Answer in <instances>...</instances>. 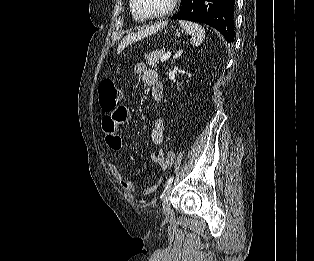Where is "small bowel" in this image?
<instances>
[{"instance_id": "c3829d8e", "label": "small bowel", "mask_w": 314, "mask_h": 261, "mask_svg": "<svg viewBox=\"0 0 314 261\" xmlns=\"http://www.w3.org/2000/svg\"><path fill=\"white\" fill-rule=\"evenodd\" d=\"M132 72L134 75L142 77L143 82L152 88V96L155 100L162 99L163 85L159 80L158 74L154 70L148 69L143 63H136L133 65ZM130 119V112L124 107L119 109H109V115L103 118L102 128L106 134V143L111 150L118 151L122 149L123 142L121 136L118 134V131H120V127H124ZM164 130V121L161 118H157L150 132V140L152 144H163ZM164 157L165 154L162 150L150 155V159L162 168L166 167L163 164ZM108 169L125 191H135L133 181L126 177L116 164L110 163L108 165ZM154 189L155 187L145 189V194L152 193Z\"/></svg>"}]
</instances>
